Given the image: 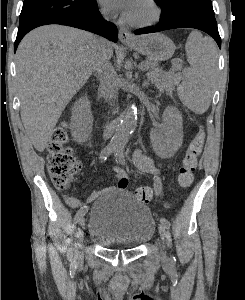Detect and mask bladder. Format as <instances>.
Returning a JSON list of instances; mask_svg holds the SVG:
<instances>
[{"label":"bladder","instance_id":"31cf9c89","mask_svg":"<svg viewBox=\"0 0 245 300\" xmlns=\"http://www.w3.org/2000/svg\"><path fill=\"white\" fill-rule=\"evenodd\" d=\"M155 231L150 208L124 189L103 192L89 211L87 234L101 247L136 249L149 242Z\"/></svg>","mask_w":245,"mask_h":300}]
</instances>
